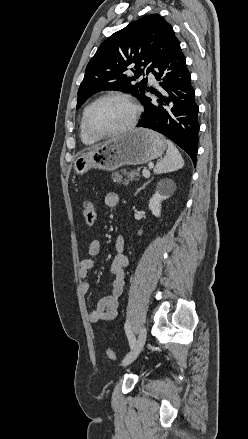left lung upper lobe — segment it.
Masks as SVG:
<instances>
[{"mask_svg":"<svg viewBox=\"0 0 248 439\" xmlns=\"http://www.w3.org/2000/svg\"><path fill=\"white\" fill-rule=\"evenodd\" d=\"M176 41L171 25L158 14L144 16L115 32L88 63L78 90L77 108L102 90L130 93L141 100L147 79L132 84L144 71L140 67H147V73L153 72ZM130 65L134 66L135 77L126 74Z\"/></svg>","mask_w":248,"mask_h":439,"instance_id":"obj_1","label":"left lung upper lobe"}]
</instances>
